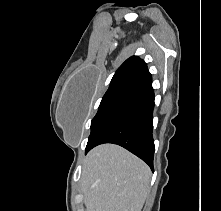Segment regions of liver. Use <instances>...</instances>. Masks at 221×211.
Here are the masks:
<instances>
[{
  "mask_svg": "<svg viewBox=\"0 0 221 211\" xmlns=\"http://www.w3.org/2000/svg\"><path fill=\"white\" fill-rule=\"evenodd\" d=\"M151 171L115 144L92 149L82 165L81 190L87 211H141Z\"/></svg>",
  "mask_w": 221,
  "mask_h": 211,
  "instance_id": "1",
  "label": "liver"
}]
</instances>
